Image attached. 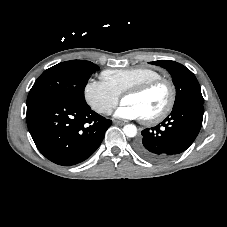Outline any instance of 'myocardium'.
<instances>
[{"mask_svg": "<svg viewBox=\"0 0 227 227\" xmlns=\"http://www.w3.org/2000/svg\"><path fill=\"white\" fill-rule=\"evenodd\" d=\"M164 84L167 86L168 91H169V98L168 101L165 105V107L156 115H153L151 117H145L142 118L143 122L146 124H155L159 123L162 120H164L173 110L175 102H176V87L174 83L167 78L164 77H159L156 79L149 80L145 83H142L138 86H135L133 88L128 89L123 93L122 99L125 96L129 95H134V96H139L147 93L151 89L155 88L158 85Z\"/></svg>", "mask_w": 227, "mask_h": 227, "instance_id": "f54148a6", "label": "myocardium"}]
</instances>
